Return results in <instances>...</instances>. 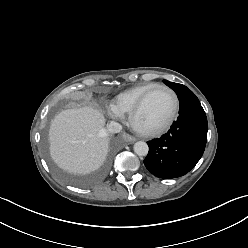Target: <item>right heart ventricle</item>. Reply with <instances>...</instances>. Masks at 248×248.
<instances>
[{"label": "right heart ventricle", "instance_id": "1", "mask_svg": "<svg viewBox=\"0 0 248 248\" xmlns=\"http://www.w3.org/2000/svg\"><path fill=\"white\" fill-rule=\"evenodd\" d=\"M155 85L152 82L144 83L123 91L113 100L112 110L119 116L129 115L142 94Z\"/></svg>", "mask_w": 248, "mask_h": 248}]
</instances>
